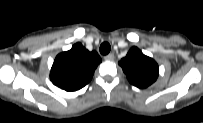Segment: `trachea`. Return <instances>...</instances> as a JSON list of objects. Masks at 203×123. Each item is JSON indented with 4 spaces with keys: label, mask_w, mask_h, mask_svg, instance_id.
Wrapping results in <instances>:
<instances>
[{
    "label": "trachea",
    "mask_w": 203,
    "mask_h": 123,
    "mask_svg": "<svg viewBox=\"0 0 203 123\" xmlns=\"http://www.w3.org/2000/svg\"><path fill=\"white\" fill-rule=\"evenodd\" d=\"M110 50H111V46H110L109 43L104 42V43L101 44V46H100V53L102 55H107L110 52Z\"/></svg>",
    "instance_id": "trachea-1"
}]
</instances>
